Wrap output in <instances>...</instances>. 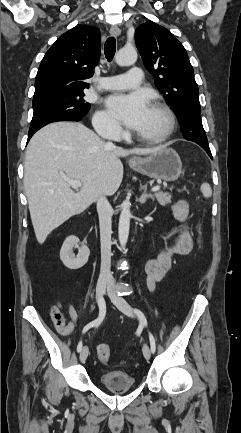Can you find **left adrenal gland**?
<instances>
[{"label": "left adrenal gland", "instance_id": "left-adrenal-gland-1", "mask_svg": "<svg viewBox=\"0 0 241 433\" xmlns=\"http://www.w3.org/2000/svg\"><path fill=\"white\" fill-rule=\"evenodd\" d=\"M141 190H143V192L138 200L141 204H145L147 199H154L152 194H147V184L143 186Z\"/></svg>", "mask_w": 241, "mask_h": 433}]
</instances>
